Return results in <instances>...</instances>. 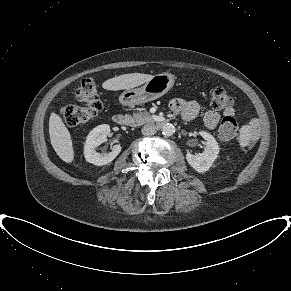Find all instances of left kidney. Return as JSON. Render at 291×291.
Here are the masks:
<instances>
[{
    "instance_id": "left-kidney-1",
    "label": "left kidney",
    "mask_w": 291,
    "mask_h": 291,
    "mask_svg": "<svg viewBox=\"0 0 291 291\" xmlns=\"http://www.w3.org/2000/svg\"><path fill=\"white\" fill-rule=\"evenodd\" d=\"M200 136L206 141V149L202 153L193 155L191 153L186 154V160L189 165L199 173L206 172L213 164L219 154V146L215 138L205 132H199Z\"/></svg>"
}]
</instances>
